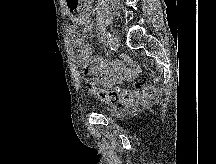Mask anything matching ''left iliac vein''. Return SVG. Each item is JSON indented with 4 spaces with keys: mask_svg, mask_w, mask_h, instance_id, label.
<instances>
[{
    "mask_svg": "<svg viewBox=\"0 0 216 164\" xmlns=\"http://www.w3.org/2000/svg\"><path fill=\"white\" fill-rule=\"evenodd\" d=\"M111 45H113L115 49H118L120 45L119 37L115 33L112 34Z\"/></svg>",
    "mask_w": 216,
    "mask_h": 164,
    "instance_id": "obj_1",
    "label": "left iliac vein"
}]
</instances>
